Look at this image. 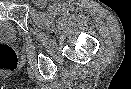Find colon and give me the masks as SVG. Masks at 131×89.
I'll return each mask as SVG.
<instances>
[{
  "mask_svg": "<svg viewBox=\"0 0 131 89\" xmlns=\"http://www.w3.org/2000/svg\"><path fill=\"white\" fill-rule=\"evenodd\" d=\"M18 67V59L15 51L7 45L0 44V70L15 71Z\"/></svg>",
  "mask_w": 131,
  "mask_h": 89,
  "instance_id": "obj_1",
  "label": "colon"
}]
</instances>
